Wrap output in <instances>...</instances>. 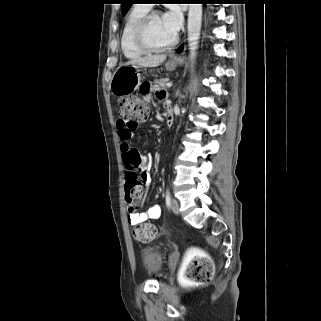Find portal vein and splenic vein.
Returning <instances> with one entry per match:
<instances>
[{
    "mask_svg": "<svg viewBox=\"0 0 321 321\" xmlns=\"http://www.w3.org/2000/svg\"><path fill=\"white\" fill-rule=\"evenodd\" d=\"M166 86L170 88L172 86V83H167Z\"/></svg>",
    "mask_w": 321,
    "mask_h": 321,
    "instance_id": "portal-vein-and-splenic-vein-1",
    "label": "portal vein and splenic vein"
}]
</instances>
